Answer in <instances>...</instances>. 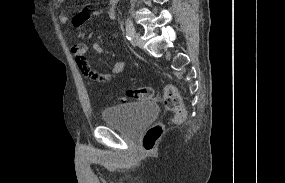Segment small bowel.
Wrapping results in <instances>:
<instances>
[{
	"label": "small bowel",
	"instance_id": "small-bowel-1",
	"mask_svg": "<svg viewBox=\"0 0 285 183\" xmlns=\"http://www.w3.org/2000/svg\"><path fill=\"white\" fill-rule=\"evenodd\" d=\"M59 4L63 3L64 0H57ZM118 0H110V5L106 9V12L110 17L115 16V6ZM90 18V15L87 12H81L77 14L72 22L75 27H80L82 26L86 21H88ZM59 21L61 23H66L68 21V16L65 13H61L59 15ZM93 50L96 53H102L103 52V47L99 43H94L92 45ZM72 52L76 58V61L78 64L84 65L87 70L88 74L87 76L95 81L98 82H105L111 78L112 75L118 74L123 71L125 68V61H117L113 64V66L107 70L98 72L92 69V60L88 55V46L85 43H77L73 46Z\"/></svg>",
	"mask_w": 285,
	"mask_h": 183
}]
</instances>
